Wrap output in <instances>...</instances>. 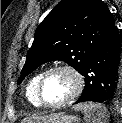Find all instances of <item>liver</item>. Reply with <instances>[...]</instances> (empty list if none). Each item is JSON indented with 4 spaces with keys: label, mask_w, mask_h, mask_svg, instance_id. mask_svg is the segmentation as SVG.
Listing matches in <instances>:
<instances>
[{
    "label": "liver",
    "mask_w": 122,
    "mask_h": 123,
    "mask_svg": "<svg viewBox=\"0 0 122 123\" xmlns=\"http://www.w3.org/2000/svg\"><path fill=\"white\" fill-rule=\"evenodd\" d=\"M48 119V116H33L24 118L21 123H44Z\"/></svg>",
    "instance_id": "obj_1"
}]
</instances>
